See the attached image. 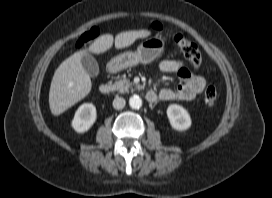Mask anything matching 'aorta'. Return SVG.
Here are the masks:
<instances>
[{"mask_svg":"<svg viewBox=\"0 0 272 198\" xmlns=\"http://www.w3.org/2000/svg\"><path fill=\"white\" fill-rule=\"evenodd\" d=\"M129 105L132 109H139L142 106V100L139 96L134 95L129 99Z\"/></svg>","mask_w":272,"mask_h":198,"instance_id":"1","label":"aorta"}]
</instances>
